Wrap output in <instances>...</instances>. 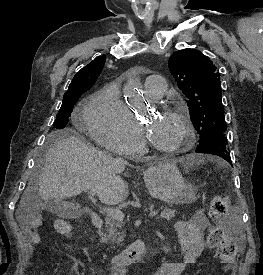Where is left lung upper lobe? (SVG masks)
<instances>
[{
    "label": "left lung upper lobe",
    "mask_w": 263,
    "mask_h": 275,
    "mask_svg": "<svg viewBox=\"0 0 263 275\" xmlns=\"http://www.w3.org/2000/svg\"><path fill=\"white\" fill-rule=\"evenodd\" d=\"M168 64L178 88L188 98L198 142L225 133L220 77L210 59L196 49L187 48L174 52Z\"/></svg>",
    "instance_id": "obj_1"
}]
</instances>
